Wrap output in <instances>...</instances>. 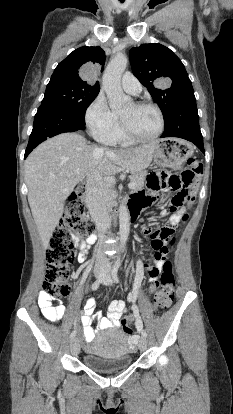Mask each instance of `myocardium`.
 I'll list each match as a JSON object with an SVG mask.
<instances>
[{
  "label": "myocardium",
  "mask_w": 233,
  "mask_h": 414,
  "mask_svg": "<svg viewBox=\"0 0 233 414\" xmlns=\"http://www.w3.org/2000/svg\"><path fill=\"white\" fill-rule=\"evenodd\" d=\"M135 106L139 107V108H152L154 109L157 114L159 115L160 118V128L158 130V132L156 134H154L153 136L150 137H141L139 135H137L131 128L130 126L127 124V122L120 116V126L122 131L124 132V134L132 141L134 142H140V143H145V142H151L156 140L157 138H159L164 130H165V116L163 111L161 110V108L152 102H148V101H141V102H137L135 103Z\"/></svg>",
  "instance_id": "f54148a6"
}]
</instances>
